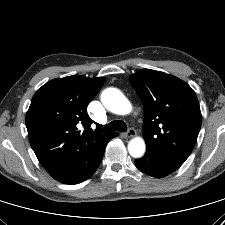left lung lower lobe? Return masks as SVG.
Instances as JSON below:
<instances>
[{"instance_id": "0a47b994", "label": "left lung lower lobe", "mask_w": 225, "mask_h": 225, "mask_svg": "<svg viewBox=\"0 0 225 225\" xmlns=\"http://www.w3.org/2000/svg\"><path fill=\"white\" fill-rule=\"evenodd\" d=\"M134 163L139 170L156 178L165 177L182 165L180 162L149 149L146 150L143 158L135 159Z\"/></svg>"}]
</instances>
